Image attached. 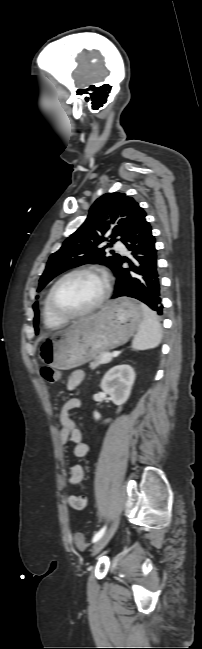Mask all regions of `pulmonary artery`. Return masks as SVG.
Listing matches in <instances>:
<instances>
[{
    "mask_svg": "<svg viewBox=\"0 0 202 649\" xmlns=\"http://www.w3.org/2000/svg\"><path fill=\"white\" fill-rule=\"evenodd\" d=\"M115 246H116V248L119 249L121 252H126V248H125V246H124L120 241H117V242L115 243Z\"/></svg>",
    "mask_w": 202,
    "mask_h": 649,
    "instance_id": "1",
    "label": "pulmonary artery"
}]
</instances>
